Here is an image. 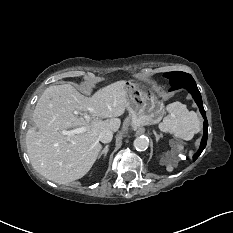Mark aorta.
Listing matches in <instances>:
<instances>
[{"instance_id": "obj_1", "label": "aorta", "mask_w": 233, "mask_h": 233, "mask_svg": "<svg viewBox=\"0 0 233 233\" xmlns=\"http://www.w3.org/2000/svg\"><path fill=\"white\" fill-rule=\"evenodd\" d=\"M133 145L137 151H145L149 146V139L145 136L137 137Z\"/></svg>"}]
</instances>
